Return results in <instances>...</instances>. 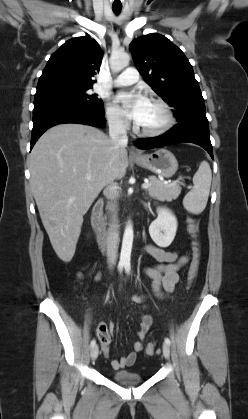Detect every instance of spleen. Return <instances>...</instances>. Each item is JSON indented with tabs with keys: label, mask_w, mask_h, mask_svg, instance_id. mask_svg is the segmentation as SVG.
Listing matches in <instances>:
<instances>
[{
	"label": "spleen",
	"mask_w": 248,
	"mask_h": 419,
	"mask_svg": "<svg viewBox=\"0 0 248 419\" xmlns=\"http://www.w3.org/2000/svg\"><path fill=\"white\" fill-rule=\"evenodd\" d=\"M211 179L210 166L207 161H202L193 176V189L183 199V206L188 212L199 214L205 209L209 197Z\"/></svg>",
	"instance_id": "3e777b00"
}]
</instances>
